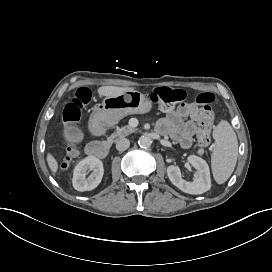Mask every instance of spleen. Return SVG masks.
I'll use <instances>...</instances> for the list:
<instances>
[{"label": "spleen", "mask_w": 272, "mask_h": 272, "mask_svg": "<svg viewBox=\"0 0 272 272\" xmlns=\"http://www.w3.org/2000/svg\"><path fill=\"white\" fill-rule=\"evenodd\" d=\"M213 138L215 140L211 166L215 181L224 183L232 174L238 153L236 134L231 125L224 119L219 120L214 127Z\"/></svg>", "instance_id": "spleen-1"}]
</instances>
